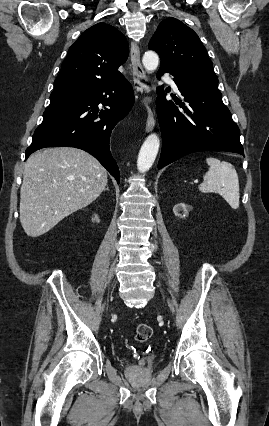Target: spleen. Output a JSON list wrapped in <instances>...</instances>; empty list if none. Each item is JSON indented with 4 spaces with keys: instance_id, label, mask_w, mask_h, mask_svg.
I'll return each mask as SVG.
<instances>
[{
    "instance_id": "1",
    "label": "spleen",
    "mask_w": 269,
    "mask_h": 426,
    "mask_svg": "<svg viewBox=\"0 0 269 426\" xmlns=\"http://www.w3.org/2000/svg\"><path fill=\"white\" fill-rule=\"evenodd\" d=\"M209 170L203 176V183L198 187L203 193H218L233 209L239 207V180L236 169L226 161L209 157L206 159Z\"/></svg>"
}]
</instances>
